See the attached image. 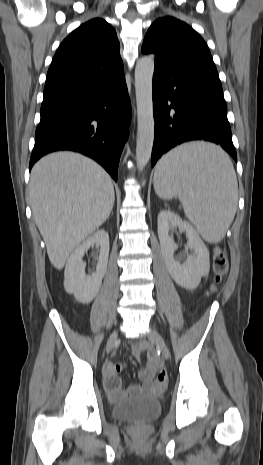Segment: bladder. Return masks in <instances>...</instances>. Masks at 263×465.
I'll use <instances>...</instances> for the list:
<instances>
[{
    "mask_svg": "<svg viewBox=\"0 0 263 465\" xmlns=\"http://www.w3.org/2000/svg\"><path fill=\"white\" fill-rule=\"evenodd\" d=\"M159 399L151 396H136L116 403L112 408L114 418L130 422H150L161 413Z\"/></svg>",
    "mask_w": 263,
    "mask_h": 465,
    "instance_id": "31cf9c89",
    "label": "bladder"
}]
</instances>
